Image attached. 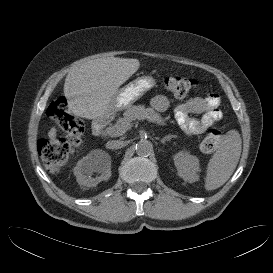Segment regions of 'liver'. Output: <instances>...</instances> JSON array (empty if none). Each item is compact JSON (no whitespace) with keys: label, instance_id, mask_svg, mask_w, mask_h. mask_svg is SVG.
<instances>
[{"label":"liver","instance_id":"1","mask_svg":"<svg viewBox=\"0 0 273 273\" xmlns=\"http://www.w3.org/2000/svg\"><path fill=\"white\" fill-rule=\"evenodd\" d=\"M140 67L138 59L105 57L74 66L66 76L64 94L68 108L87 119H109L115 112L118 88ZM52 144L57 143V130L48 132Z\"/></svg>","mask_w":273,"mask_h":273}]
</instances>
